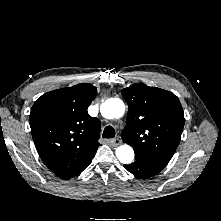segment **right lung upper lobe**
<instances>
[{
    "mask_svg": "<svg viewBox=\"0 0 221 221\" xmlns=\"http://www.w3.org/2000/svg\"><path fill=\"white\" fill-rule=\"evenodd\" d=\"M96 95V87L81 83L42 95L31 109L30 127L37 152L61 178L80 174L100 146V121L87 112Z\"/></svg>",
    "mask_w": 221,
    "mask_h": 221,
    "instance_id": "right-lung-upper-lobe-1",
    "label": "right lung upper lobe"
}]
</instances>
